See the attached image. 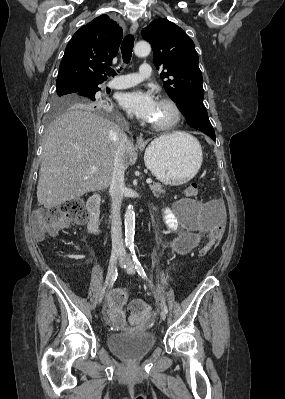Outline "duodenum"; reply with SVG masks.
Instances as JSON below:
<instances>
[{
    "label": "duodenum",
    "mask_w": 285,
    "mask_h": 399,
    "mask_svg": "<svg viewBox=\"0 0 285 399\" xmlns=\"http://www.w3.org/2000/svg\"><path fill=\"white\" fill-rule=\"evenodd\" d=\"M100 202L99 195L90 197L87 202L88 227L93 234H101L103 231L101 227Z\"/></svg>",
    "instance_id": "obj_1"
}]
</instances>
